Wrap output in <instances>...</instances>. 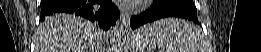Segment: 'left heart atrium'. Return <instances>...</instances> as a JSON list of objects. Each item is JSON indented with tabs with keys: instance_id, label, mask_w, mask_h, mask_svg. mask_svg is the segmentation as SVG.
Segmentation results:
<instances>
[{
	"instance_id": "obj_1",
	"label": "left heart atrium",
	"mask_w": 261,
	"mask_h": 52,
	"mask_svg": "<svg viewBox=\"0 0 261 52\" xmlns=\"http://www.w3.org/2000/svg\"><path fill=\"white\" fill-rule=\"evenodd\" d=\"M144 2V0H120L119 4L123 8H133Z\"/></svg>"
}]
</instances>
